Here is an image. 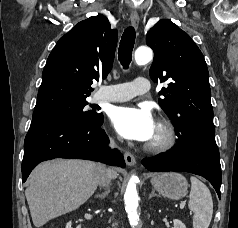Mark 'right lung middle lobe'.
I'll return each instance as SVG.
<instances>
[{"label":"right lung middle lobe","instance_id":"dd1d6c3e","mask_svg":"<svg viewBox=\"0 0 238 228\" xmlns=\"http://www.w3.org/2000/svg\"><path fill=\"white\" fill-rule=\"evenodd\" d=\"M87 104L88 102L84 101L78 104L66 106L47 115L37 117L33 116V119H67L87 124L97 123L103 118V114L97 113L95 108L87 111L85 108Z\"/></svg>","mask_w":238,"mask_h":228}]
</instances>
